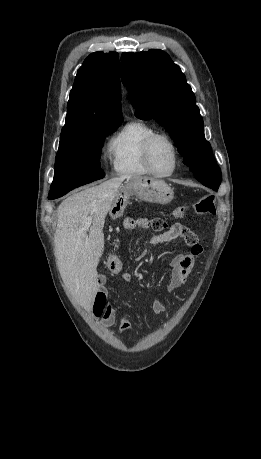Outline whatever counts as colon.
I'll return each instance as SVG.
<instances>
[{"instance_id": "colon-1", "label": "colon", "mask_w": 261, "mask_h": 459, "mask_svg": "<svg viewBox=\"0 0 261 459\" xmlns=\"http://www.w3.org/2000/svg\"><path fill=\"white\" fill-rule=\"evenodd\" d=\"M192 212L196 215H211L215 212V198L211 194L202 196L194 205L190 208L178 206L174 210V214L178 218H184ZM149 226L155 231H163L166 229L167 224L164 220L155 218L149 221ZM122 260L119 254H109L106 258V268L111 273H118L122 269ZM103 309V304L100 299L94 303V314L100 315Z\"/></svg>"}]
</instances>
